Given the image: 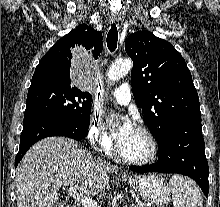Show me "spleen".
Returning <instances> with one entry per match:
<instances>
[{
  "label": "spleen",
  "instance_id": "obj_1",
  "mask_svg": "<svg viewBox=\"0 0 220 207\" xmlns=\"http://www.w3.org/2000/svg\"><path fill=\"white\" fill-rule=\"evenodd\" d=\"M170 189L174 207H203L201 192L191 180L174 175L170 179Z\"/></svg>",
  "mask_w": 220,
  "mask_h": 207
}]
</instances>
